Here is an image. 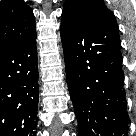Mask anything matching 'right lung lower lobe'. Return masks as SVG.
Masks as SVG:
<instances>
[{
  "mask_svg": "<svg viewBox=\"0 0 136 136\" xmlns=\"http://www.w3.org/2000/svg\"><path fill=\"white\" fill-rule=\"evenodd\" d=\"M36 34L0 49V136H35L38 107Z\"/></svg>",
  "mask_w": 136,
  "mask_h": 136,
  "instance_id": "right-lung-lower-lobe-1",
  "label": "right lung lower lobe"
}]
</instances>
